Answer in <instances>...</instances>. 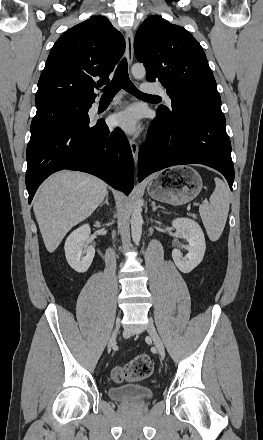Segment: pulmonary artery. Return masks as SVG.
Segmentation results:
<instances>
[{"label":"pulmonary artery","instance_id":"e3ab8cb5","mask_svg":"<svg viewBox=\"0 0 263 440\" xmlns=\"http://www.w3.org/2000/svg\"><path fill=\"white\" fill-rule=\"evenodd\" d=\"M140 91L148 94H158L164 97L168 104L171 103L170 97L164 92V90L160 87H146L144 85L140 86Z\"/></svg>","mask_w":263,"mask_h":440}]
</instances>
